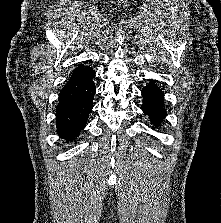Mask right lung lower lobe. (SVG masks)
Segmentation results:
<instances>
[{
    "instance_id": "right-lung-lower-lobe-1",
    "label": "right lung lower lobe",
    "mask_w": 221,
    "mask_h": 223,
    "mask_svg": "<svg viewBox=\"0 0 221 223\" xmlns=\"http://www.w3.org/2000/svg\"><path fill=\"white\" fill-rule=\"evenodd\" d=\"M94 77L95 71L87 67L71 76L60 91L56 126L58 134L67 141L75 139L86 125L96 92Z\"/></svg>"
}]
</instances>
